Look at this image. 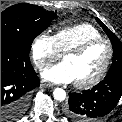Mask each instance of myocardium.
Masks as SVG:
<instances>
[{"label":"myocardium","mask_w":122,"mask_h":122,"mask_svg":"<svg viewBox=\"0 0 122 122\" xmlns=\"http://www.w3.org/2000/svg\"><path fill=\"white\" fill-rule=\"evenodd\" d=\"M98 43H105L107 45L108 54H107L106 60L103 64V66L101 67V69L99 70V72L94 77H92L91 79L84 81V82H75L74 83L75 87H77L79 89H87V88L93 87L104 78V76L106 75V73L111 65L112 59H113V54H114L113 45H112L111 41L107 38H104V37L93 38V39H89V40L79 44L78 46L71 48L68 51H66L65 53H63V59L67 56H78V55H81L82 53H84L91 46L98 44Z\"/></svg>","instance_id":"obj_1"}]
</instances>
